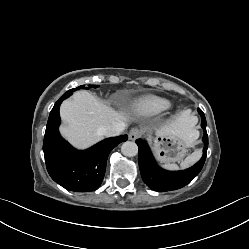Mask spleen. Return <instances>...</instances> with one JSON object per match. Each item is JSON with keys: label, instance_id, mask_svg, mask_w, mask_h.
I'll return each instance as SVG.
<instances>
[{"label": "spleen", "instance_id": "1", "mask_svg": "<svg viewBox=\"0 0 249 249\" xmlns=\"http://www.w3.org/2000/svg\"><path fill=\"white\" fill-rule=\"evenodd\" d=\"M201 155H202V152L200 149H198V150H195L189 156H187L184 159V161L180 163V166H178L175 163H168V162H165L164 164L161 163V165L162 167L168 170H178L179 168L185 169L195 164L201 158Z\"/></svg>", "mask_w": 249, "mask_h": 249}]
</instances>
